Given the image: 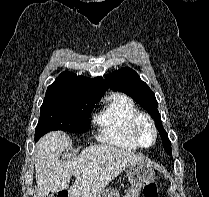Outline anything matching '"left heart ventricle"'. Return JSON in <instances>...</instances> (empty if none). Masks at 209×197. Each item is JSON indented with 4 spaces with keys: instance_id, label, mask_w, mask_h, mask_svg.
Here are the masks:
<instances>
[{
    "instance_id": "left-heart-ventricle-1",
    "label": "left heart ventricle",
    "mask_w": 209,
    "mask_h": 197,
    "mask_svg": "<svg viewBox=\"0 0 209 197\" xmlns=\"http://www.w3.org/2000/svg\"><path fill=\"white\" fill-rule=\"evenodd\" d=\"M140 137H141V141L143 144L149 145L152 143L153 131L148 124L146 123L142 124L141 129H140Z\"/></svg>"
}]
</instances>
